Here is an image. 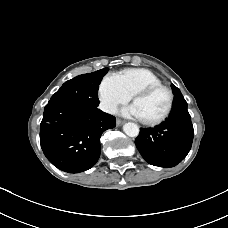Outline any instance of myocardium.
<instances>
[{
  "instance_id": "1",
  "label": "myocardium",
  "mask_w": 228,
  "mask_h": 228,
  "mask_svg": "<svg viewBox=\"0 0 228 228\" xmlns=\"http://www.w3.org/2000/svg\"><path fill=\"white\" fill-rule=\"evenodd\" d=\"M160 89H163L167 92V94H168V105H167L165 111L160 116H158L154 119H141L142 122L146 125H150V126L157 125V124L161 123L162 121H164L169 116V114L173 108V104H174V94L169 87L162 85V84H155V85L145 86V87L137 90L132 95V100L134 102L136 99H138L140 97H145V96L153 93L154 91H157Z\"/></svg>"
}]
</instances>
